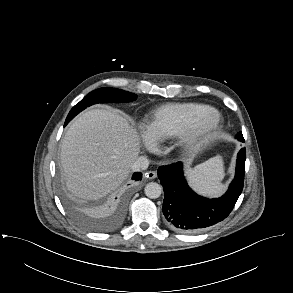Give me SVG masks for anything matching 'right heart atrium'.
I'll return each instance as SVG.
<instances>
[{
  "instance_id": "right-heart-atrium-1",
  "label": "right heart atrium",
  "mask_w": 293,
  "mask_h": 293,
  "mask_svg": "<svg viewBox=\"0 0 293 293\" xmlns=\"http://www.w3.org/2000/svg\"><path fill=\"white\" fill-rule=\"evenodd\" d=\"M135 135L147 150H153L156 146V140L150 135L147 128L143 124H138L135 128Z\"/></svg>"
}]
</instances>
